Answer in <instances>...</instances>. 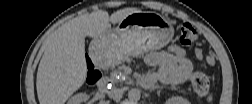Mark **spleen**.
Instances as JSON below:
<instances>
[{
	"instance_id": "spleen-1",
	"label": "spleen",
	"mask_w": 252,
	"mask_h": 104,
	"mask_svg": "<svg viewBox=\"0 0 252 104\" xmlns=\"http://www.w3.org/2000/svg\"><path fill=\"white\" fill-rule=\"evenodd\" d=\"M208 101L211 102L212 101V95H209L208 97Z\"/></svg>"
}]
</instances>
